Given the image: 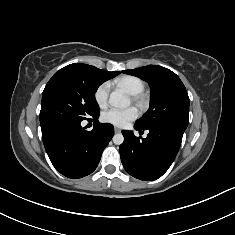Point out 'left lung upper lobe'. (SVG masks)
Listing matches in <instances>:
<instances>
[{
	"label": "left lung upper lobe",
	"mask_w": 235,
	"mask_h": 235,
	"mask_svg": "<svg viewBox=\"0 0 235 235\" xmlns=\"http://www.w3.org/2000/svg\"><path fill=\"white\" fill-rule=\"evenodd\" d=\"M147 81L151 88V101L147 113L135 125L151 128L170 125L186 129L189 121V97L180 78L161 66H144L122 71Z\"/></svg>",
	"instance_id": "1"
}]
</instances>
